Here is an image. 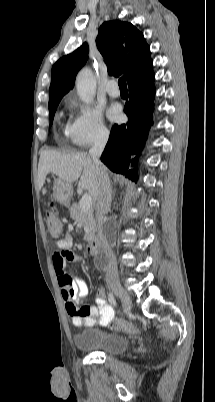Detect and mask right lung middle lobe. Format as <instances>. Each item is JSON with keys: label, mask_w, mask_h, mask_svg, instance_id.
<instances>
[{"label": "right lung middle lobe", "mask_w": 215, "mask_h": 402, "mask_svg": "<svg viewBox=\"0 0 215 402\" xmlns=\"http://www.w3.org/2000/svg\"><path fill=\"white\" fill-rule=\"evenodd\" d=\"M61 98L54 99L49 102V115H50V126L53 122L54 114Z\"/></svg>", "instance_id": "1"}]
</instances>
